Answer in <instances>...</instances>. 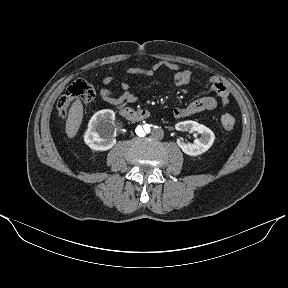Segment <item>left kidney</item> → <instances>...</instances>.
I'll use <instances>...</instances> for the list:
<instances>
[{
    "mask_svg": "<svg viewBox=\"0 0 288 288\" xmlns=\"http://www.w3.org/2000/svg\"><path fill=\"white\" fill-rule=\"evenodd\" d=\"M178 131H190L198 133L200 137L193 143H186L183 139H178L177 144L182 151L190 156H197L206 152L213 144L215 135L211 129L195 121H182L175 125Z\"/></svg>",
    "mask_w": 288,
    "mask_h": 288,
    "instance_id": "1",
    "label": "left kidney"
}]
</instances>
